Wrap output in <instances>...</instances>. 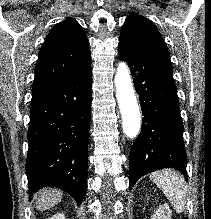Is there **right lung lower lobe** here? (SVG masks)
I'll return each instance as SVG.
<instances>
[{
	"instance_id": "obj_1",
	"label": "right lung lower lobe",
	"mask_w": 211,
	"mask_h": 219,
	"mask_svg": "<svg viewBox=\"0 0 211 219\" xmlns=\"http://www.w3.org/2000/svg\"><path fill=\"white\" fill-rule=\"evenodd\" d=\"M91 64L32 95L26 174L29 197L44 186L85 197L91 118Z\"/></svg>"
}]
</instances>
